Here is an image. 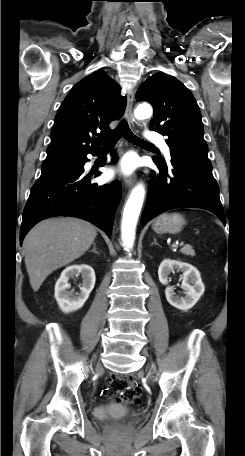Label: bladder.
I'll return each instance as SVG.
<instances>
[{
	"instance_id": "1",
	"label": "bladder",
	"mask_w": 245,
	"mask_h": 456,
	"mask_svg": "<svg viewBox=\"0 0 245 456\" xmlns=\"http://www.w3.org/2000/svg\"><path fill=\"white\" fill-rule=\"evenodd\" d=\"M132 414L130 408L117 403L101 404L94 408V416L99 420L121 419Z\"/></svg>"
}]
</instances>
